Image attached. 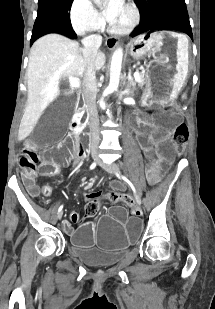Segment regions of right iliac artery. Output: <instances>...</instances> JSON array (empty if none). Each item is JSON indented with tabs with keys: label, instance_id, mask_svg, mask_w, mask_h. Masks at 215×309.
Instances as JSON below:
<instances>
[{
	"label": "right iliac artery",
	"instance_id": "obj_1",
	"mask_svg": "<svg viewBox=\"0 0 215 309\" xmlns=\"http://www.w3.org/2000/svg\"><path fill=\"white\" fill-rule=\"evenodd\" d=\"M95 166H96V163H93V164L90 166V169H94V168H95ZM62 209H63V205H61V206L59 207V209H58V213H59V212H61V211H62Z\"/></svg>",
	"mask_w": 215,
	"mask_h": 309
}]
</instances>
